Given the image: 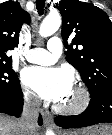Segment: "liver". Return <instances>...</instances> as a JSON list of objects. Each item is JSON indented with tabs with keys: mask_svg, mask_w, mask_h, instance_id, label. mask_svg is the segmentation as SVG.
Listing matches in <instances>:
<instances>
[{
	"mask_svg": "<svg viewBox=\"0 0 112 135\" xmlns=\"http://www.w3.org/2000/svg\"><path fill=\"white\" fill-rule=\"evenodd\" d=\"M0 135H22L19 121L0 114Z\"/></svg>",
	"mask_w": 112,
	"mask_h": 135,
	"instance_id": "obj_1",
	"label": "liver"
}]
</instances>
